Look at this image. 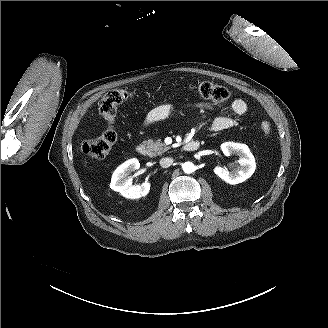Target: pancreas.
Here are the masks:
<instances>
[{
  "instance_id": "pancreas-1",
  "label": "pancreas",
  "mask_w": 328,
  "mask_h": 328,
  "mask_svg": "<svg viewBox=\"0 0 328 328\" xmlns=\"http://www.w3.org/2000/svg\"><path fill=\"white\" fill-rule=\"evenodd\" d=\"M144 145L146 146L148 150V156H159L162 155L164 152L168 151L170 147L166 146L164 143L158 140L154 139H148L144 142Z\"/></svg>"
}]
</instances>
